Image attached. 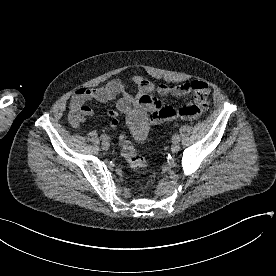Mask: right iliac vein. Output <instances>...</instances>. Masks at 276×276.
Wrapping results in <instances>:
<instances>
[{"instance_id":"1","label":"right iliac vein","mask_w":276,"mask_h":276,"mask_svg":"<svg viewBox=\"0 0 276 276\" xmlns=\"http://www.w3.org/2000/svg\"><path fill=\"white\" fill-rule=\"evenodd\" d=\"M109 146H110V144H109L108 140H104V141L102 142V148H103L104 150H108V149H109Z\"/></svg>"}]
</instances>
